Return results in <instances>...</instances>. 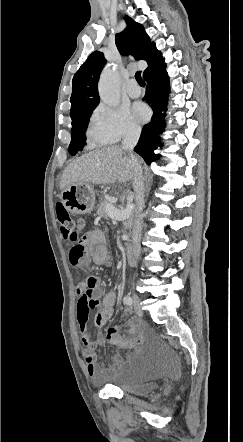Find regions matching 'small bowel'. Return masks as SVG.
<instances>
[{
  "mask_svg": "<svg viewBox=\"0 0 243 442\" xmlns=\"http://www.w3.org/2000/svg\"><path fill=\"white\" fill-rule=\"evenodd\" d=\"M85 244V257L82 261L74 263L69 261L71 265L79 267L81 265L96 264L103 266H111L112 258L106 243L105 232L101 229L94 228L89 230L83 236ZM70 255V254H69ZM78 295L76 305V318L80 329L81 340L84 345L83 355L86 364V371L89 377L95 383H101L108 380L115 369L118 367L121 357L115 355L112 357L108 366L101 365L99 357L95 349L100 346L104 340L124 350H131L136 343H141L144 339L139 323L134 319L127 320L123 325L127 328L124 335L119 333L121 326L109 328L106 333H91L88 328V321L94 309L97 313L94 317L96 326H102L114 314L116 305V293H104L100 286V281L96 276H87L84 283H80L76 287Z\"/></svg>",
  "mask_w": 243,
  "mask_h": 442,
  "instance_id": "small-bowel-1",
  "label": "small bowel"
}]
</instances>
